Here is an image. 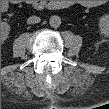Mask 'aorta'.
I'll use <instances>...</instances> for the list:
<instances>
[{
	"instance_id": "1",
	"label": "aorta",
	"mask_w": 109,
	"mask_h": 109,
	"mask_svg": "<svg viewBox=\"0 0 109 109\" xmlns=\"http://www.w3.org/2000/svg\"><path fill=\"white\" fill-rule=\"evenodd\" d=\"M49 24L52 27H59L61 25V18L58 15H53L49 19Z\"/></svg>"
}]
</instances>
